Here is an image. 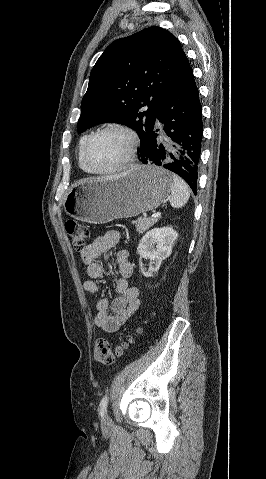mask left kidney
<instances>
[{
    "label": "left kidney",
    "instance_id": "left-kidney-1",
    "mask_svg": "<svg viewBox=\"0 0 266 479\" xmlns=\"http://www.w3.org/2000/svg\"><path fill=\"white\" fill-rule=\"evenodd\" d=\"M177 237V232L171 227L152 229L142 237L137 252L141 258L152 261L148 270L142 264L140 265L145 277H152L157 273L162 261L171 255L172 246Z\"/></svg>",
    "mask_w": 266,
    "mask_h": 479
}]
</instances>
